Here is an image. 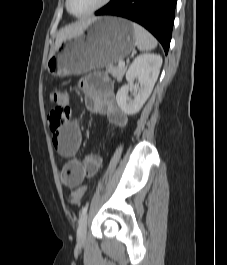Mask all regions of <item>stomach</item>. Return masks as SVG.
I'll use <instances>...</instances> for the list:
<instances>
[{
	"instance_id": "1",
	"label": "stomach",
	"mask_w": 227,
	"mask_h": 265,
	"mask_svg": "<svg viewBox=\"0 0 227 265\" xmlns=\"http://www.w3.org/2000/svg\"><path fill=\"white\" fill-rule=\"evenodd\" d=\"M132 23L118 17H101L84 31L64 40L46 62L54 76L80 75L113 65L127 57L135 44Z\"/></svg>"
}]
</instances>
